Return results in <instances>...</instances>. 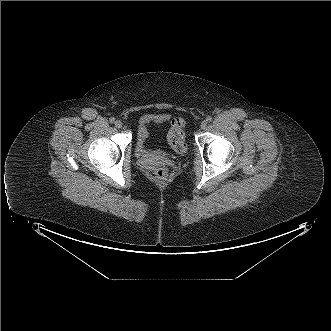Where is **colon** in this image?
<instances>
[{
  "label": "colon",
  "mask_w": 331,
  "mask_h": 331,
  "mask_svg": "<svg viewBox=\"0 0 331 331\" xmlns=\"http://www.w3.org/2000/svg\"><path fill=\"white\" fill-rule=\"evenodd\" d=\"M168 143L175 151H182L185 147L184 121L181 118L173 120L168 132ZM155 179L159 182L168 180V171L163 167L156 168Z\"/></svg>",
  "instance_id": "obj_1"
}]
</instances>
